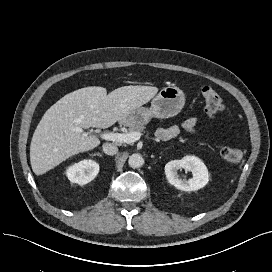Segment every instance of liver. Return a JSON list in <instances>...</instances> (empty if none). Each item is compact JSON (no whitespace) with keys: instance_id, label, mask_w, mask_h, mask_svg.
<instances>
[{"instance_id":"6515ba94","label":"liver","mask_w":272,"mask_h":272,"mask_svg":"<svg viewBox=\"0 0 272 272\" xmlns=\"http://www.w3.org/2000/svg\"><path fill=\"white\" fill-rule=\"evenodd\" d=\"M158 92L153 86H123L109 94L104 87L73 91L43 115L32 137L30 163L36 175L53 169L69 157L94 149L100 140L77 129L108 128L123 122Z\"/></svg>"}]
</instances>
